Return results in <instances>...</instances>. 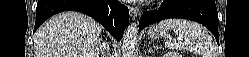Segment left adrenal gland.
<instances>
[{
  "instance_id": "a2214340",
  "label": "left adrenal gland",
  "mask_w": 249,
  "mask_h": 57,
  "mask_svg": "<svg viewBox=\"0 0 249 57\" xmlns=\"http://www.w3.org/2000/svg\"><path fill=\"white\" fill-rule=\"evenodd\" d=\"M153 48L155 49H159L160 47L159 46H154ZM152 51V48H149V52Z\"/></svg>"
}]
</instances>
